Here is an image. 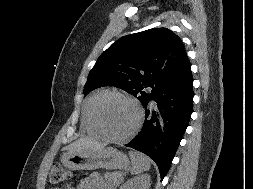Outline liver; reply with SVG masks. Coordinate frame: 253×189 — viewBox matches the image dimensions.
<instances>
[{
	"mask_svg": "<svg viewBox=\"0 0 253 189\" xmlns=\"http://www.w3.org/2000/svg\"><path fill=\"white\" fill-rule=\"evenodd\" d=\"M105 148V145L99 143L91 138H80L71 144L67 145L64 150L67 152H81V151H100Z\"/></svg>",
	"mask_w": 253,
	"mask_h": 189,
	"instance_id": "obj_1",
	"label": "liver"
}]
</instances>
